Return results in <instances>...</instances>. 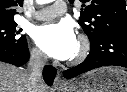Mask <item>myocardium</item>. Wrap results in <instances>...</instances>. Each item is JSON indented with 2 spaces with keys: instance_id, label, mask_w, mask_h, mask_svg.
Here are the masks:
<instances>
[{
  "instance_id": "f54148a6",
  "label": "myocardium",
  "mask_w": 127,
  "mask_h": 92,
  "mask_svg": "<svg viewBox=\"0 0 127 92\" xmlns=\"http://www.w3.org/2000/svg\"><path fill=\"white\" fill-rule=\"evenodd\" d=\"M89 50H90L89 40L83 35L79 36L78 42H77V50L75 54L69 60V63L70 64L80 63L86 58V56L89 53Z\"/></svg>"
}]
</instances>
